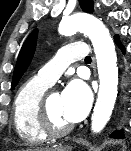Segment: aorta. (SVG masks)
<instances>
[{
  "label": "aorta",
  "mask_w": 131,
  "mask_h": 151,
  "mask_svg": "<svg viewBox=\"0 0 131 151\" xmlns=\"http://www.w3.org/2000/svg\"><path fill=\"white\" fill-rule=\"evenodd\" d=\"M59 32L66 36L82 32L93 44L100 83L91 129L94 133H99L110 120L117 97L118 67L113 39L99 19L85 13L63 19Z\"/></svg>",
  "instance_id": "aorta-1"
}]
</instances>
